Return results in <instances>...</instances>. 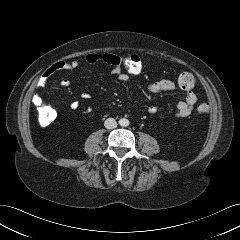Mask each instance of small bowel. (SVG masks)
<instances>
[{
  "mask_svg": "<svg viewBox=\"0 0 240 240\" xmlns=\"http://www.w3.org/2000/svg\"><path fill=\"white\" fill-rule=\"evenodd\" d=\"M105 54L100 53H90L86 56V61L90 64H99V63H105L102 58ZM106 65L111 67V72L116 74L118 78L121 81H126L128 79V76L122 72L119 69L113 68L110 64L105 63ZM80 63L77 60H73L70 62L66 61H58L52 64L48 70L46 71L43 80L40 83V87L43 88L45 85V81L48 77L53 75L54 73L58 71H71L79 68ZM60 85L63 87H68L70 85V81L68 79H62L60 81ZM178 87V83L169 80V79H163L159 81H153L148 84V90L152 93H162V92H169ZM82 99H89L90 95L86 92H83L80 94ZM197 95L194 92H188L185 99L183 101H180L177 103L176 106V113L175 116L177 118H185L189 116L192 112V110L195 107V104L197 103ZM32 101L35 105H38L40 103H44L43 99L38 93H35L33 95ZM79 106V103L77 101H73L70 104V107L72 109H77ZM147 110L149 113H155L157 108L154 105H148Z\"/></svg>",
  "mask_w": 240,
  "mask_h": 240,
  "instance_id": "c3829d8e",
  "label": "small bowel"
}]
</instances>
